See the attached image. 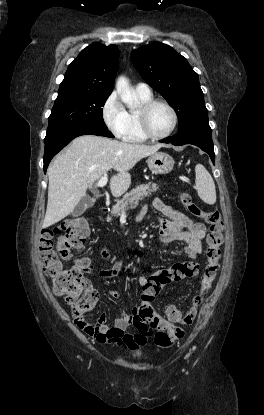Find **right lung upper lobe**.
I'll return each instance as SVG.
<instances>
[{"label": "right lung upper lobe", "instance_id": "cb5924a9", "mask_svg": "<svg viewBox=\"0 0 264 415\" xmlns=\"http://www.w3.org/2000/svg\"><path fill=\"white\" fill-rule=\"evenodd\" d=\"M118 61L116 45L91 44L68 66L58 95L111 94Z\"/></svg>", "mask_w": 264, "mask_h": 415}]
</instances>
